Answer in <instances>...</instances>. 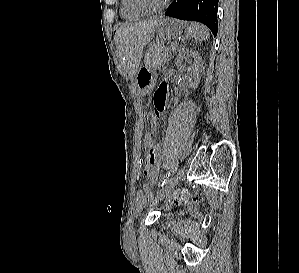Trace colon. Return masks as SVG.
Wrapping results in <instances>:
<instances>
[{
	"label": "colon",
	"mask_w": 299,
	"mask_h": 273,
	"mask_svg": "<svg viewBox=\"0 0 299 273\" xmlns=\"http://www.w3.org/2000/svg\"><path fill=\"white\" fill-rule=\"evenodd\" d=\"M156 140V125L152 126L146 131L144 135V146L151 145ZM145 188V187H144ZM162 198H165L167 205L173 204H185L189 206L193 213L197 212L198 208V198L185 190H169ZM161 198V199H162Z\"/></svg>",
	"instance_id": "obj_1"
}]
</instances>
